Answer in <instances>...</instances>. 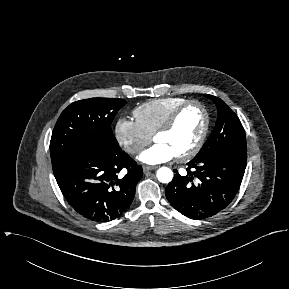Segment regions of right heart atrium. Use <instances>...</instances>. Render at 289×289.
I'll return each mask as SVG.
<instances>
[{
    "label": "right heart atrium",
    "mask_w": 289,
    "mask_h": 289,
    "mask_svg": "<svg viewBox=\"0 0 289 289\" xmlns=\"http://www.w3.org/2000/svg\"><path fill=\"white\" fill-rule=\"evenodd\" d=\"M114 135L118 144L131 155L138 154L151 140L136 121L123 117L116 121Z\"/></svg>",
    "instance_id": "d8ad5b80"
}]
</instances>
